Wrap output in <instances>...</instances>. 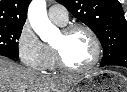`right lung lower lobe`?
<instances>
[{"mask_svg": "<svg viewBox=\"0 0 127 92\" xmlns=\"http://www.w3.org/2000/svg\"><path fill=\"white\" fill-rule=\"evenodd\" d=\"M0 55H2V56H6V55H3V54H0ZM6 57L12 58V57H10V56H6Z\"/></svg>", "mask_w": 127, "mask_h": 92, "instance_id": "right-lung-lower-lobe-1", "label": "right lung lower lobe"}]
</instances>
